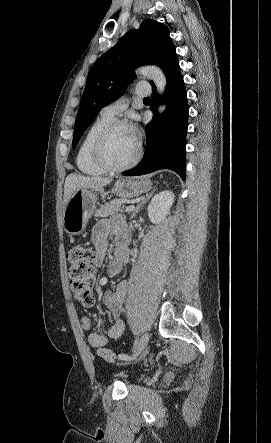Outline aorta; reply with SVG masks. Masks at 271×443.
Masks as SVG:
<instances>
[{"label":"aorta","instance_id":"obj_1","mask_svg":"<svg viewBox=\"0 0 271 443\" xmlns=\"http://www.w3.org/2000/svg\"><path fill=\"white\" fill-rule=\"evenodd\" d=\"M136 74L137 76H145L147 80H152L158 90V94H164L167 86V80L165 78V74H163L160 68H157V66H142V68H138V70H136ZM164 110L165 106H159V114H162Z\"/></svg>","mask_w":271,"mask_h":443}]
</instances>
